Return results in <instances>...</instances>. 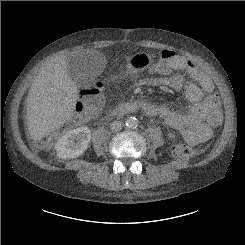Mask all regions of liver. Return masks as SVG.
<instances>
[{
    "instance_id": "obj_1",
    "label": "liver",
    "mask_w": 245,
    "mask_h": 245,
    "mask_svg": "<svg viewBox=\"0 0 245 245\" xmlns=\"http://www.w3.org/2000/svg\"><path fill=\"white\" fill-rule=\"evenodd\" d=\"M78 88L71 78L67 56L50 61L32 82L27 96V125L37 141L62 127L74 115Z\"/></svg>"
}]
</instances>
